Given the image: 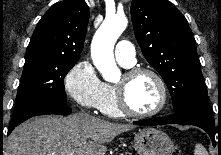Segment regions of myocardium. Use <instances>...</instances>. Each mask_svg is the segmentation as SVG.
I'll return each mask as SVG.
<instances>
[{"label": "myocardium", "instance_id": "obj_1", "mask_svg": "<svg viewBox=\"0 0 221 155\" xmlns=\"http://www.w3.org/2000/svg\"><path fill=\"white\" fill-rule=\"evenodd\" d=\"M141 74L151 75L156 80L161 92L160 104L156 109L150 112H138L134 110L127 97L128 83ZM123 78L124 80L122 83L114 86L117 104L123 114L136 118H149L158 115L164 110L168 102V89L163 77L157 71L148 67H133L123 74Z\"/></svg>", "mask_w": 221, "mask_h": 155}]
</instances>
